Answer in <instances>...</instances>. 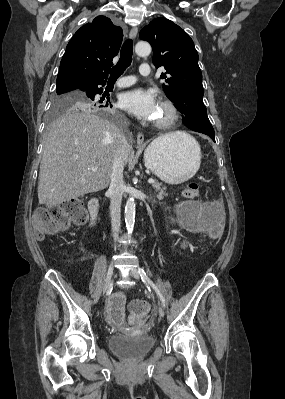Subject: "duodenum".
I'll return each instance as SVG.
<instances>
[{
  "label": "duodenum",
  "instance_id": "410a0bca",
  "mask_svg": "<svg viewBox=\"0 0 285 399\" xmlns=\"http://www.w3.org/2000/svg\"><path fill=\"white\" fill-rule=\"evenodd\" d=\"M89 223L91 227H97L99 225V209L98 200L92 199L89 202Z\"/></svg>",
  "mask_w": 285,
  "mask_h": 399
}]
</instances>
